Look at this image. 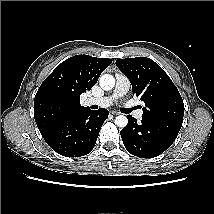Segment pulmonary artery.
I'll use <instances>...</instances> for the list:
<instances>
[{"mask_svg":"<svg viewBox=\"0 0 214 214\" xmlns=\"http://www.w3.org/2000/svg\"><path fill=\"white\" fill-rule=\"evenodd\" d=\"M116 84L112 95L110 96H103V97H91L86 100L87 105H98L100 107H108L113 103V101L121 96H124L129 88L130 82L128 78L122 73H116ZM134 117L138 120L142 118L143 111L142 110H135L133 113Z\"/></svg>","mask_w":214,"mask_h":214,"instance_id":"1","label":"pulmonary artery"}]
</instances>
